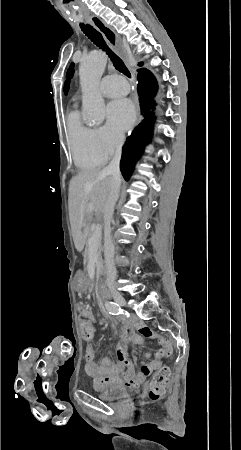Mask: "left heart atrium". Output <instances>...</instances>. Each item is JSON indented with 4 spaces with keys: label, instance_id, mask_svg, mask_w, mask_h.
<instances>
[{
    "label": "left heart atrium",
    "instance_id": "1",
    "mask_svg": "<svg viewBox=\"0 0 241 450\" xmlns=\"http://www.w3.org/2000/svg\"><path fill=\"white\" fill-rule=\"evenodd\" d=\"M135 121V109L133 103L127 98H119L117 102H111L108 106L109 127L122 133L128 130Z\"/></svg>",
    "mask_w": 241,
    "mask_h": 450
}]
</instances>
